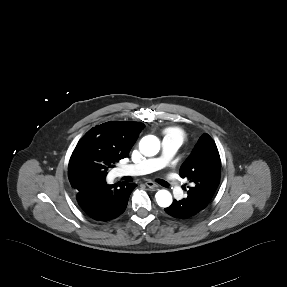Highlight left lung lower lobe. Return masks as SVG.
Wrapping results in <instances>:
<instances>
[{
    "mask_svg": "<svg viewBox=\"0 0 287 287\" xmlns=\"http://www.w3.org/2000/svg\"><path fill=\"white\" fill-rule=\"evenodd\" d=\"M165 212L175 218H190L201 212L199 206L190 204L187 199H182L180 201L174 200L173 203L164 209Z\"/></svg>",
    "mask_w": 287,
    "mask_h": 287,
    "instance_id": "left-lung-lower-lobe-1",
    "label": "left lung lower lobe"
}]
</instances>
